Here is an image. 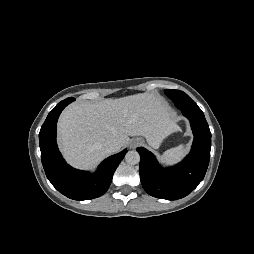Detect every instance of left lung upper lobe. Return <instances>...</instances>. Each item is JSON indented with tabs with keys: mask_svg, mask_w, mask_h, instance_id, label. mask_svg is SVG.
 Listing matches in <instances>:
<instances>
[{
	"mask_svg": "<svg viewBox=\"0 0 254 254\" xmlns=\"http://www.w3.org/2000/svg\"><path fill=\"white\" fill-rule=\"evenodd\" d=\"M165 94L174 102L177 108L181 109V111H201L198 105L183 91L166 89Z\"/></svg>",
	"mask_w": 254,
	"mask_h": 254,
	"instance_id": "5c2ea615",
	"label": "left lung upper lobe"
}]
</instances>
